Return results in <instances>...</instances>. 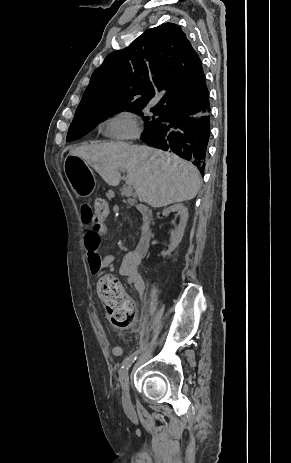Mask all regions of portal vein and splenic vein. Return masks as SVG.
I'll return each mask as SVG.
<instances>
[{
  "mask_svg": "<svg viewBox=\"0 0 291 463\" xmlns=\"http://www.w3.org/2000/svg\"><path fill=\"white\" fill-rule=\"evenodd\" d=\"M123 194L126 196V197H131L133 195V189L131 186H126L123 188Z\"/></svg>",
  "mask_w": 291,
  "mask_h": 463,
  "instance_id": "18ae733b",
  "label": "portal vein and splenic vein"
}]
</instances>
